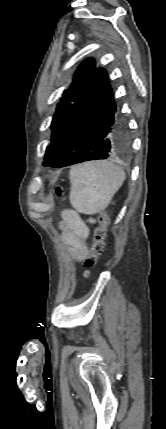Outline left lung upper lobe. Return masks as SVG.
Returning a JSON list of instances; mask_svg holds the SVG:
<instances>
[{"label": "left lung upper lobe", "instance_id": "5c2ea615", "mask_svg": "<svg viewBox=\"0 0 166 429\" xmlns=\"http://www.w3.org/2000/svg\"><path fill=\"white\" fill-rule=\"evenodd\" d=\"M94 66L95 62L93 59L84 61L77 69L70 87L63 92L60 103H58L56 108V113L52 119L51 144L47 146L43 165L46 164L53 156L62 138L64 130L67 127L71 112L88 84Z\"/></svg>", "mask_w": 166, "mask_h": 429}]
</instances>
